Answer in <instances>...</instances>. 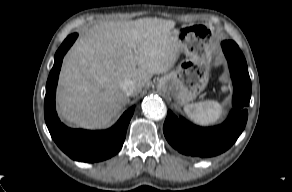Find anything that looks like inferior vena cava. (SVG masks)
Here are the masks:
<instances>
[{"label": "inferior vena cava", "mask_w": 292, "mask_h": 192, "mask_svg": "<svg viewBox=\"0 0 292 192\" xmlns=\"http://www.w3.org/2000/svg\"><path fill=\"white\" fill-rule=\"evenodd\" d=\"M122 91L127 95H133L135 91V83L133 80L126 79L122 84H121Z\"/></svg>", "instance_id": "602c4592"}]
</instances>
